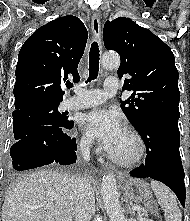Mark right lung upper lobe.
I'll list each match as a JSON object with an SVG mask.
<instances>
[{
  "mask_svg": "<svg viewBox=\"0 0 190 221\" xmlns=\"http://www.w3.org/2000/svg\"><path fill=\"white\" fill-rule=\"evenodd\" d=\"M87 36L80 19L67 15L40 27L26 40L16 66L13 114L63 100L61 85L68 75L80 79L77 67Z\"/></svg>",
  "mask_w": 190,
  "mask_h": 221,
  "instance_id": "obj_1",
  "label": "right lung upper lobe"
}]
</instances>
